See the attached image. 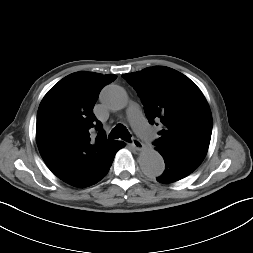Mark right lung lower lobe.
I'll list each match as a JSON object with an SVG mask.
<instances>
[{
  "mask_svg": "<svg viewBox=\"0 0 253 253\" xmlns=\"http://www.w3.org/2000/svg\"><path fill=\"white\" fill-rule=\"evenodd\" d=\"M125 146V143L122 141H114L113 144L108 148L105 155V167H104V174L103 177L107 174L110 169V166L113 162L116 152ZM102 177V178H103Z\"/></svg>",
  "mask_w": 253,
  "mask_h": 253,
  "instance_id": "right-lung-lower-lobe-1",
  "label": "right lung lower lobe"
}]
</instances>
